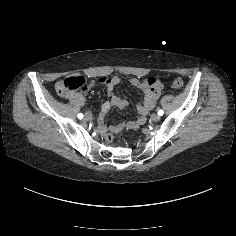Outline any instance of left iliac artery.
<instances>
[{
	"label": "left iliac artery",
	"mask_w": 236,
	"mask_h": 236,
	"mask_svg": "<svg viewBox=\"0 0 236 236\" xmlns=\"http://www.w3.org/2000/svg\"><path fill=\"white\" fill-rule=\"evenodd\" d=\"M163 114H164V111H163V110H159V111H158V115H159V116H162Z\"/></svg>",
	"instance_id": "44dca946"
}]
</instances>
